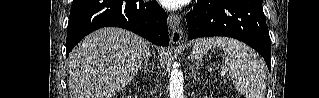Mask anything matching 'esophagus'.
<instances>
[{
  "instance_id": "esophagus-1",
  "label": "esophagus",
  "mask_w": 319,
  "mask_h": 98,
  "mask_svg": "<svg viewBox=\"0 0 319 98\" xmlns=\"http://www.w3.org/2000/svg\"><path fill=\"white\" fill-rule=\"evenodd\" d=\"M168 26L171 30V42L180 43L183 37V31L180 29V16L170 13L168 15Z\"/></svg>"
}]
</instances>
